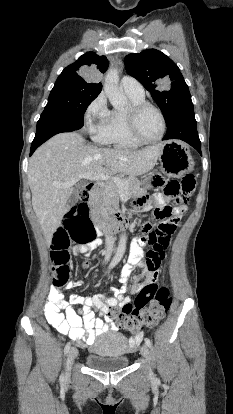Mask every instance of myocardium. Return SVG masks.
<instances>
[{"mask_svg":"<svg viewBox=\"0 0 233 414\" xmlns=\"http://www.w3.org/2000/svg\"><path fill=\"white\" fill-rule=\"evenodd\" d=\"M146 109H154L160 116L162 122V129L160 135L155 139H146L143 137L137 126V119L139 115ZM125 122L130 135L142 144H154L160 141L166 132L167 121L163 111L155 104L150 102H141L138 104H132L124 113Z\"/></svg>","mask_w":233,"mask_h":414,"instance_id":"myocardium-1","label":"myocardium"}]
</instances>
